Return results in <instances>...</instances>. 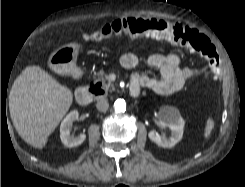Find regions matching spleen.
<instances>
[{"label":"spleen","mask_w":245,"mask_h":187,"mask_svg":"<svg viewBox=\"0 0 245 187\" xmlns=\"http://www.w3.org/2000/svg\"><path fill=\"white\" fill-rule=\"evenodd\" d=\"M214 125H215L214 120L212 118H208L206 121L205 130H204V137L206 139L210 136L211 131L214 128Z\"/></svg>","instance_id":"1"}]
</instances>
